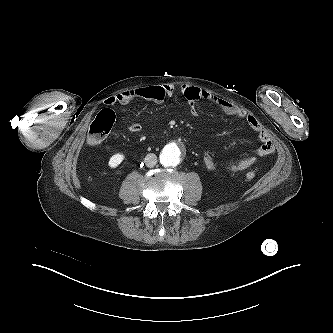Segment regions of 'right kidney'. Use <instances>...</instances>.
I'll return each mask as SVG.
<instances>
[{
    "mask_svg": "<svg viewBox=\"0 0 333 333\" xmlns=\"http://www.w3.org/2000/svg\"><path fill=\"white\" fill-rule=\"evenodd\" d=\"M124 158H125V156L121 153L114 154L108 162L109 167L116 168L117 166H119L121 164V162L124 160Z\"/></svg>",
    "mask_w": 333,
    "mask_h": 333,
    "instance_id": "1",
    "label": "right kidney"
}]
</instances>
